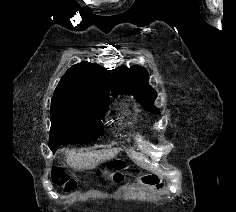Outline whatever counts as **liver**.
Masks as SVG:
<instances>
[{"instance_id": "1", "label": "liver", "mask_w": 236, "mask_h": 212, "mask_svg": "<svg viewBox=\"0 0 236 212\" xmlns=\"http://www.w3.org/2000/svg\"><path fill=\"white\" fill-rule=\"evenodd\" d=\"M120 149H106L100 151H91V152H71L66 159V162L69 167L74 170L82 169H92L97 167L99 164L113 159Z\"/></svg>"}]
</instances>
